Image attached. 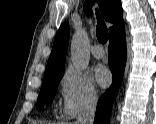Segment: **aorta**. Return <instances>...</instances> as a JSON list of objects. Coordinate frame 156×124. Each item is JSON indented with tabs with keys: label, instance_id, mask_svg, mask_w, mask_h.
Returning a JSON list of instances; mask_svg holds the SVG:
<instances>
[{
	"label": "aorta",
	"instance_id": "1",
	"mask_svg": "<svg viewBox=\"0 0 156 124\" xmlns=\"http://www.w3.org/2000/svg\"><path fill=\"white\" fill-rule=\"evenodd\" d=\"M88 38L84 32H76L71 41V61L76 69L84 70L90 61Z\"/></svg>",
	"mask_w": 156,
	"mask_h": 124
}]
</instances>
